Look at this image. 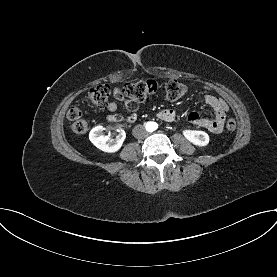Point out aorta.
<instances>
[{"mask_svg": "<svg viewBox=\"0 0 277 277\" xmlns=\"http://www.w3.org/2000/svg\"><path fill=\"white\" fill-rule=\"evenodd\" d=\"M154 128H155V124H154L153 122L148 123V129H149L150 131H153Z\"/></svg>", "mask_w": 277, "mask_h": 277, "instance_id": "aorta-1", "label": "aorta"}]
</instances>
